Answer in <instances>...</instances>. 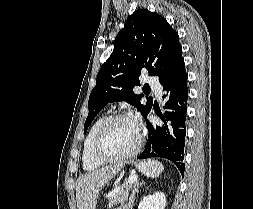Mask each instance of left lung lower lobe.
<instances>
[{"mask_svg":"<svg viewBox=\"0 0 253 209\" xmlns=\"http://www.w3.org/2000/svg\"><path fill=\"white\" fill-rule=\"evenodd\" d=\"M187 73L184 60H180L172 71L160 81L166 91L165 112H157L162 124L146 121L149 131L145 150L138 159L160 157L172 161L183 175L184 146L186 137L187 117Z\"/></svg>","mask_w":253,"mask_h":209,"instance_id":"1","label":"left lung lower lobe"}]
</instances>
